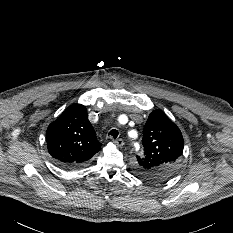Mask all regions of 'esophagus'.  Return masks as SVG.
Wrapping results in <instances>:
<instances>
[{"mask_svg":"<svg viewBox=\"0 0 233 233\" xmlns=\"http://www.w3.org/2000/svg\"><path fill=\"white\" fill-rule=\"evenodd\" d=\"M114 143L118 146V147H122L124 145V141L121 138H118L116 140H114Z\"/></svg>","mask_w":233,"mask_h":233,"instance_id":"1","label":"esophagus"}]
</instances>
